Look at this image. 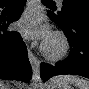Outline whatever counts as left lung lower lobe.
I'll return each instance as SVG.
<instances>
[{"label":"left lung lower lobe","instance_id":"0a47b994","mask_svg":"<svg viewBox=\"0 0 89 89\" xmlns=\"http://www.w3.org/2000/svg\"><path fill=\"white\" fill-rule=\"evenodd\" d=\"M48 16L64 31L70 43V55L55 66L42 63L40 75L45 82L55 75L74 74L89 78V14L79 13L64 21L59 14Z\"/></svg>","mask_w":89,"mask_h":89}]
</instances>
